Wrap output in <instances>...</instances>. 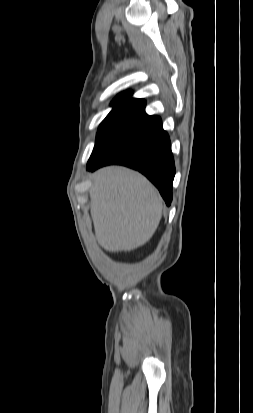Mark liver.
<instances>
[{
  "mask_svg": "<svg viewBox=\"0 0 253 413\" xmlns=\"http://www.w3.org/2000/svg\"><path fill=\"white\" fill-rule=\"evenodd\" d=\"M90 210L98 244L109 252L130 251L150 240L162 217L157 189L140 173L110 166L92 176Z\"/></svg>",
  "mask_w": 253,
  "mask_h": 413,
  "instance_id": "liver-1",
  "label": "liver"
}]
</instances>
